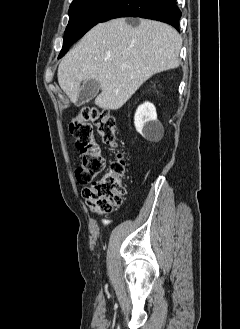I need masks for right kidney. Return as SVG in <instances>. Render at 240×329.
<instances>
[{
  "mask_svg": "<svg viewBox=\"0 0 240 329\" xmlns=\"http://www.w3.org/2000/svg\"><path fill=\"white\" fill-rule=\"evenodd\" d=\"M134 124L137 132L145 138L151 139L163 135V126L157 120L156 109L152 103L145 102L137 108Z\"/></svg>",
  "mask_w": 240,
  "mask_h": 329,
  "instance_id": "1",
  "label": "right kidney"
}]
</instances>
